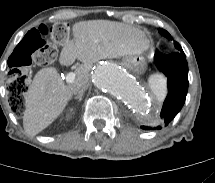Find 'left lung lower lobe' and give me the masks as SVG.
<instances>
[{
    "instance_id": "1",
    "label": "left lung lower lobe",
    "mask_w": 215,
    "mask_h": 183,
    "mask_svg": "<svg viewBox=\"0 0 215 183\" xmlns=\"http://www.w3.org/2000/svg\"><path fill=\"white\" fill-rule=\"evenodd\" d=\"M159 71L167 77L168 94L161 110V123L157 127L142 126L144 130L161 129L167 126L182 109L188 91V64L183 51L166 56H155Z\"/></svg>"
}]
</instances>
